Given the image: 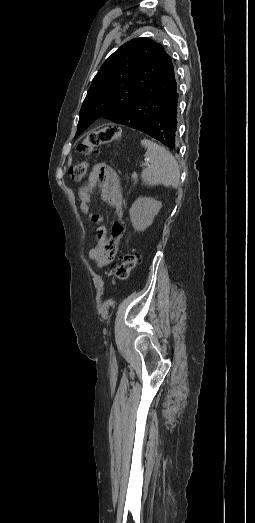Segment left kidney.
<instances>
[{
    "instance_id": "obj_1",
    "label": "left kidney",
    "mask_w": 255,
    "mask_h": 523,
    "mask_svg": "<svg viewBox=\"0 0 255 523\" xmlns=\"http://www.w3.org/2000/svg\"><path fill=\"white\" fill-rule=\"evenodd\" d=\"M161 206V202H157L154 198H137L129 212L133 228L137 232H144L148 226H151Z\"/></svg>"
}]
</instances>
